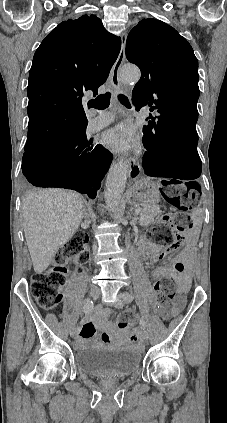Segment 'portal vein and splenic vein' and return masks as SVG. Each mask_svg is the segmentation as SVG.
Here are the masks:
<instances>
[{
	"label": "portal vein and splenic vein",
	"mask_w": 227,
	"mask_h": 423,
	"mask_svg": "<svg viewBox=\"0 0 227 423\" xmlns=\"http://www.w3.org/2000/svg\"><path fill=\"white\" fill-rule=\"evenodd\" d=\"M140 211H142V208H140V210H135L134 211V214H135L136 217H139L140 216Z\"/></svg>",
	"instance_id": "obj_1"
}]
</instances>
